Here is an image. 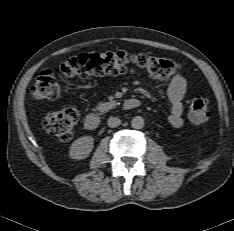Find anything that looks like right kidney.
Masks as SVG:
<instances>
[{"label":"right kidney","mask_w":234,"mask_h":231,"mask_svg":"<svg viewBox=\"0 0 234 231\" xmlns=\"http://www.w3.org/2000/svg\"><path fill=\"white\" fill-rule=\"evenodd\" d=\"M94 138L91 136H82L76 139L70 147V156L73 159H83L89 156L93 149Z\"/></svg>","instance_id":"ca27d5eb"}]
</instances>
